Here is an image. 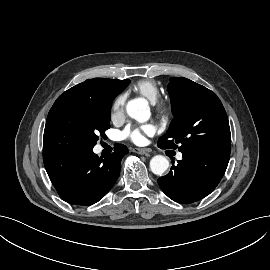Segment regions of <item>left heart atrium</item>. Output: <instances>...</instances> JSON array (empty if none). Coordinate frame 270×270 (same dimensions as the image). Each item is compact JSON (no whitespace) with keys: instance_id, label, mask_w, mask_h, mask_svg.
I'll return each instance as SVG.
<instances>
[{"instance_id":"39dd6f15","label":"left heart atrium","mask_w":270,"mask_h":270,"mask_svg":"<svg viewBox=\"0 0 270 270\" xmlns=\"http://www.w3.org/2000/svg\"><path fill=\"white\" fill-rule=\"evenodd\" d=\"M156 131V127L152 123L143 124L137 127H128L123 135L134 143H141L144 135H152Z\"/></svg>"}]
</instances>
